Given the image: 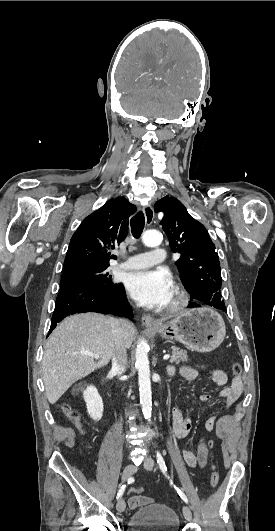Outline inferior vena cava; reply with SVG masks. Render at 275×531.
<instances>
[{
  "instance_id": "602c4592",
  "label": "inferior vena cava",
  "mask_w": 275,
  "mask_h": 531,
  "mask_svg": "<svg viewBox=\"0 0 275 531\" xmlns=\"http://www.w3.org/2000/svg\"><path fill=\"white\" fill-rule=\"evenodd\" d=\"M112 335V371L121 377L127 367V351L123 341V331L118 319H108Z\"/></svg>"
}]
</instances>
